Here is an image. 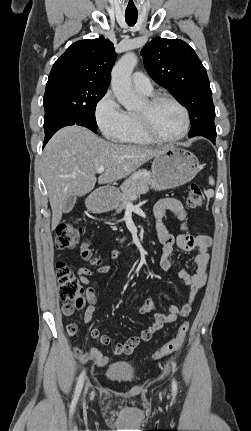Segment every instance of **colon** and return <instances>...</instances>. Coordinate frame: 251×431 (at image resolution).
Instances as JSON below:
<instances>
[{"mask_svg":"<svg viewBox=\"0 0 251 431\" xmlns=\"http://www.w3.org/2000/svg\"><path fill=\"white\" fill-rule=\"evenodd\" d=\"M205 201V196L196 183H193L189 187L187 196V203L192 208L202 206ZM81 235V228L72 221H64L58 225L56 229L55 244L58 249H73L79 242ZM81 257L89 261L92 264H99L101 261L92 256L91 251L87 245L81 247ZM56 275L59 284V291L62 300L65 302L63 305V313H70L74 309H80L85 304V293L84 289L76 277L73 271H71L63 262L56 264ZM189 329V323L184 322L178 328L176 335L165 345H163L153 355L154 359L164 358L180 348L183 344L185 337ZM88 357L91 362L98 366L99 369H104L105 365L113 359L110 353H104L103 351L94 350V345H88ZM93 350V351H92Z\"/></svg>","mask_w":251,"mask_h":431,"instance_id":"colon-1","label":"colon"}]
</instances>
